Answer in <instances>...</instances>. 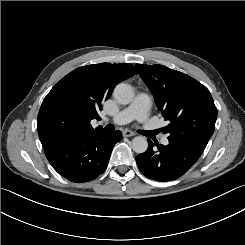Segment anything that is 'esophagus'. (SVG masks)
I'll use <instances>...</instances> for the list:
<instances>
[{"label":"esophagus","instance_id":"1","mask_svg":"<svg viewBox=\"0 0 245 245\" xmlns=\"http://www.w3.org/2000/svg\"><path fill=\"white\" fill-rule=\"evenodd\" d=\"M122 134H123L124 137H130V136H134L135 135V133L130 131V130H125V131H123Z\"/></svg>","mask_w":245,"mask_h":245}]
</instances>
